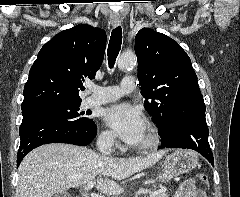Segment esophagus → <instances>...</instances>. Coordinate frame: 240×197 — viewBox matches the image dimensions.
I'll return each instance as SVG.
<instances>
[{
	"mask_svg": "<svg viewBox=\"0 0 240 197\" xmlns=\"http://www.w3.org/2000/svg\"><path fill=\"white\" fill-rule=\"evenodd\" d=\"M110 22L112 24L113 27H117L118 25H120L121 23V19H120V16L117 15V14H112L110 16Z\"/></svg>",
	"mask_w": 240,
	"mask_h": 197,
	"instance_id": "1",
	"label": "esophagus"
}]
</instances>
